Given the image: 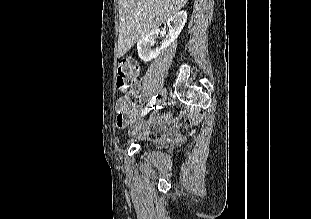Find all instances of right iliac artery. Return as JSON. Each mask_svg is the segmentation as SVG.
<instances>
[{
    "label": "right iliac artery",
    "mask_w": 311,
    "mask_h": 219,
    "mask_svg": "<svg viewBox=\"0 0 311 219\" xmlns=\"http://www.w3.org/2000/svg\"><path fill=\"white\" fill-rule=\"evenodd\" d=\"M157 96V95H156ZM156 96H153V98L150 100V102L147 104V106L145 107V109L142 111V116L147 114L152 108L153 105L155 104L156 101Z\"/></svg>",
    "instance_id": "82829eb1"
}]
</instances>
